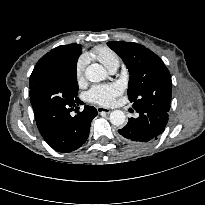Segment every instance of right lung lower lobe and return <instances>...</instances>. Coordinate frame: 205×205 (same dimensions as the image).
Here are the masks:
<instances>
[{"mask_svg": "<svg viewBox=\"0 0 205 205\" xmlns=\"http://www.w3.org/2000/svg\"><path fill=\"white\" fill-rule=\"evenodd\" d=\"M78 88L68 71L49 74L30 86V101L39 132L56 151L68 153L81 147L88 138L96 108L85 106L77 97ZM76 106V115L70 112Z\"/></svg>", "mask_w": 205, "mask_h": 205, "instance_id": "98d812e1", "label": "right lung lower lobe"}]
</instances>
